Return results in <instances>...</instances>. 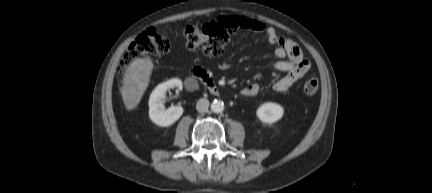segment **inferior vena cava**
<instances>
[{
  "mask_svg": "<svg viewBox=\"0 0 432 193\" xmlns=\"http://www.w3.org/2000/svg\"><path fill=\"white\" fill-rule=\"evenodd\" d=\"M208 108H209V100L208 99L202 98V99H199L197 101L196 109L198 112L204 113L208 110Z\"/></svg>",
  "mask_w": 432,
  "mask_h": 193,
  "instance_id": "obj_1",
  "label": "inferior vena cava"
}]
</instances>
